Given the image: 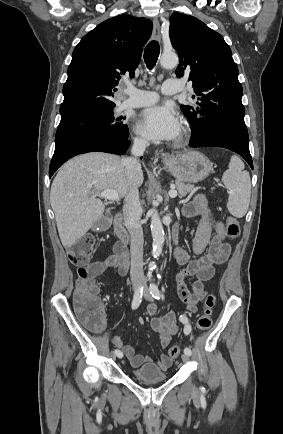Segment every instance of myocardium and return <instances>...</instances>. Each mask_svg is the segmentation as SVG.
Returning <instances> with one entry per match:
<instances>
[{
	"label": "myocardium",
	"instance_id": "myocardium-1",
	"mask_svg": "<svg viewBox=\"0 0 283 434\" xmlns=\"http://www.w3.org/2000/svg\"><path fill=\"white\" fill-rule=\"evenodd\" d=\"M186 138H187V130H186V128H183V130L181 131L179 137L174 142V145L175 146H181L186 141Z\"/></svg>",
	"mask_w": 283,
	"mask_h": 434
}]
</instances>
